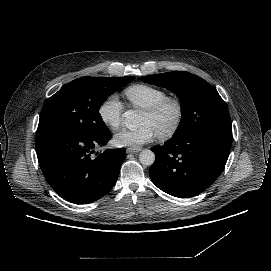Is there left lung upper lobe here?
Wrapping results in <instances>:
<instances>
[{
	"label": "left lung upper lobe",
	"instance_id": "1",
	"mask_svg": "<svg viewBox=\"0 0 271 271\" xmlns=\"http://www.w3.org/2000/svg\"><path fill=\"white\" fill-rule=\"evenodd\" d=\"M143 82L166 87L182 99V119L174 135L206 126H231L226 103L204 79L185 71L141 77Z\"/></svg>",
	"mask_w": 271,
	"mask_h": 271
}]
</instances>
